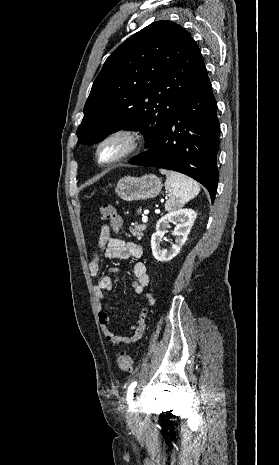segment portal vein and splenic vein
Returning a JSON list of instances; mask_svg holds the SVG:
<instances>
[{"label": "portal vein and splenic vein", "instance_id": "1", "mask_svg": "<svg viewBox=\"0 0 279 465\" xmlns=\"http://www.w3.org/2000/svg\"><path fill=\"white\" fill-rule=\"evenodd\" d=\"M142 222H144V223L148 222V217L146 215H143Z\"/></svg>", "mask_w": 279, "mask_h": 465}]
</instances>
